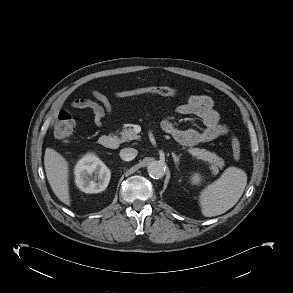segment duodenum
I'll use <instances>...</instances> for the list:
<instances>
[{
    "label": "duodenum",
    "instance_id": "duodenum-1",
    "mask_svg": "<svg viewBox=\"0 0 293 293\" xmlns=\"http://www.w3.org/2000/svg\"><path fill=\"white\" fill-rule=\"evenodd\" d=\"M99 143L106 149H115L118 147L119 141L115 135L107 134L100 137Z\"/></svg>",
    "mask_w": 293,
    "mask_h": 293
}]
</instances>
